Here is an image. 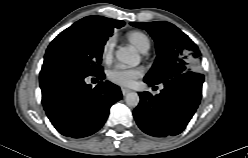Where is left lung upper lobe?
<instances>
[{"label":"left lung upper lobe","instance_id":"left-lung-upper-lobe-1","mask_svg":"<svg viewBox=\"0 0 248 158\" xmlns=\"http://www.w3.org/2000/svg\"><path fill=\"white\" fill-rule=\"evenodd\" d=\"M132 26L145 29L156 42V61L145 76L159 84L186 72L196 71L194 63L200 60L198 46L180 29L169 22H132Z\"/></svg>","mask_w":248,"mask_h":158}]
</instances>
